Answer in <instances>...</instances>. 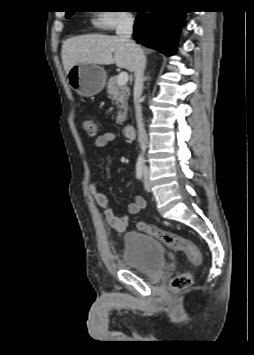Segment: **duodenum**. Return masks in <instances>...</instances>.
<instances>
[{"label":"duodenum","mask_w":254,"mask_h":355,"mask_svg":"<svg viewBox=\"0 0 254 355\" xmlns=\"http://www.w3.org/2000/svg\"><path fill=\"white\" fill-rule=\"evenodd\" d=\"M134 126L131 125V124H126L124 127H123V134L126 138H133L134 137Z\"/></svg>","instance_id":"obj_1"}]
</instances>
